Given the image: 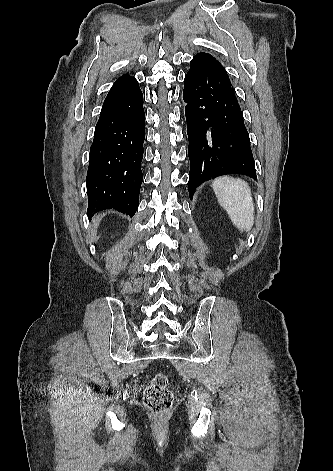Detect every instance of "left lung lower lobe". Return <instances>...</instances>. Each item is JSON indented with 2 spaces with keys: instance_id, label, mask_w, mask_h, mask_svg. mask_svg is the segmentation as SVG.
<instances>
[{
  "instance_id": "left-lung-lower-lobe-1",
  "label": "left lung lower lobe",
  "mask_w": 333,
  "mask_h": 471,
  "mask_svg": "<svg viewBox=\"0 0 333 471\" xmlns=\"http://www.w3.org/2000/svg\"><path fill=\"white\" fill-rule=\"evenodd\" d=\"M185 76L183 99L189 139V195L212 177L239 173L257 179L249 134L227 72L198 53Z\"/></svg>"
}]
</instances>
